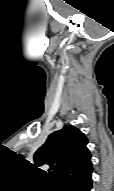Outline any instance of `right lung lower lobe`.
I'll return each mask as SVG.
<instances>
[{
  "instance_id": "1",
  "label": "right lung lower lobe",
  "mask_w": 114,
  "mask_h": 191,
  "mask_svg": "<svg viewBox=\"0 0 114 191\" xmlns=\"http://www.w3.org/2000/svg\"><path fill=\"white\" fill-rule=\"evenodd\" d=\"M92 169L72 177L59 184L60 191H90L92 188Z\"/></svg>"
}]
</instances>
